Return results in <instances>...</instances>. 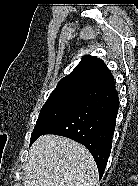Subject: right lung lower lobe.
Instances as JSON below:
<instances>
[{"instance_id":"98d812e1","label":"right lung lower lobe","mask_w":138,"mask_h":186,"mask_svg":"<svg viewBox=\"0 0 138 186\" xmlns=\"http://www.w3.org/2000/svg\"><path fill=\"white\" fill-rule=\"evenodd\" d=\"M119 108L115 88L92 90L88 101L54 124L45 134H56L83 144L102 177L112 147Z\"/></svg>"}]
</instances>
